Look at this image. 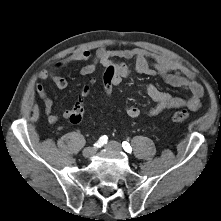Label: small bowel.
Instances as JSON below:
<instances>
[{"label":"small bowel","instance_id":"c3829d8e","mask_svg":"<svg viewBox=\"0 0 221 221\" xmlns=\"http://www.w3.org/2000/svg\"><path fill=\"white\" fill-rule=\"evenodd\" d=\"M119 59L133 60L134 63L132 66H129L118 61ZM80 61L88 62L80 70L82 75L93 73L98 65L104 68L110 61L117 62L119 70L114 74L113 87L119 85L123 79L129 77L132 73H138L159 76L169 85L184 89L190 93L188 98H183L163 91L152 84L146 85L144 91L154 102V105L148 110L150 116H157L166 110L177 108L197 110L201 106L204 89L196 80L195 74L188 67L167 56L149 54L138 48L111 51L106 47H100L95 52L79 50L55 63L51 70H42L39 78L41 81H52L58 89H65L68 86V82L64 77L57 75V71ZM35 90L43 101L48 121L51 123L58 122L59 117L53 112V101L47 94L44 86L37 82ZM72 109L63 111L62 118L69 119ZM126 114L130 118H137L140 116L141 110L137 106H129Z\"/></svg>","mask_w":221,"mask_h":221}]
</instances>
